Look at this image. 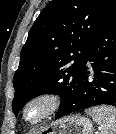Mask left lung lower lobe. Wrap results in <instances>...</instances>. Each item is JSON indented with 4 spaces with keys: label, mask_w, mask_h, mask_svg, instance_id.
Returning <instances> with one entry per match:
<instances>
[{
    "label": "left lung lower lobe",
    "mask_w": 116,
    "mask_h": 134,
    "mask_svg": "<svg viewBox=\"0 0 116 134\" xmlns=\"http://www.w3.org/2000/svg\"><path fill=\"white\" fill-rule=\"evenodd\" d=\"M98 105L116 107V3L88 46L75 96L60 106L55 118Z\"/></svg>",
    "instance_id": "obj_1"
}]
</instances>
